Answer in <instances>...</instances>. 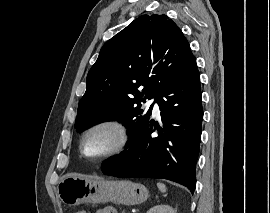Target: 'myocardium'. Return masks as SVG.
Returning a JSON list of instances; mask_svg holds the SVG:
<instances>
[{
	"mask_svg": "<svg viewBox=\"0 0 270 213\" xmlns=\"http://www.w3.org/2000/svg\"><path fill=\"white\" fill-rule=\"evenodd\" d=\"M97 130H110L113 131L116 135V142L113 146L107 149L105 152L98 156H89L84 150V142L87 136ZM128 142V130L126 126L119 120L113 118H103L99 119L89 126H87L84 131L82 132L80 139H79V151L81 155L90 160V161H103L108 159L119 152H121Z\"/></svg>",
	"mask_w": 270,
	"mask_h": 213,
	"instance_id": "myocardium-1",
	"label": "myocardium"
}]
</instances>
